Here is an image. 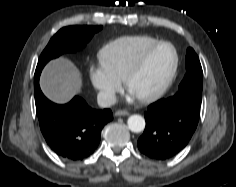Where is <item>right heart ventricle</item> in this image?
I'll list each match as a JSON object with an SVG mask.
<instances>
[{
    "label": "right heart ventricle",
    "instance_id": "e07e8e85",
    "mask_svg": "<svg viewBox=\"0 0 236 187\" xmlns=\"http://www.w3.org/2000/svg\"><path fill=\"white\" fill-rule=\"evenodd\" d=\"M158 41L149 35L117 38L100 49L98 53L100 65L120 81H123L141 53Z\"/></svg>",
    "mask_w": 236,
    "mask_h": 187
}]
</instances>
